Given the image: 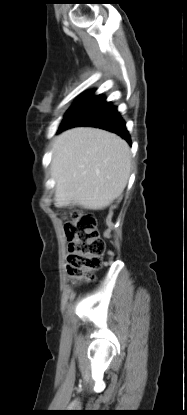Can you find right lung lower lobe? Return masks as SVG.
Returning a JSON list of instances; mask_svg holds the SVG:
<instances>
[{"label": "right lung lower lobe", "instance_id": "obj_1", "mask_svg": "<svg viewBox=\"0 0 187 415\" xmlns=\"http://www.w3.org/2000/svg\"><path fill=\"white\" fill-rule=\"evenodd\" d=\"M76 126H89L114 132L130 145V135L117 107L106 101L103 95H94V91L83 95L67 111L59 131Z\"/></svg>", "mask_w": 187, "mask_h": 415}]
</instances>
